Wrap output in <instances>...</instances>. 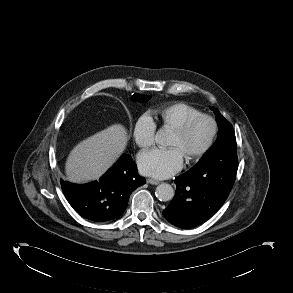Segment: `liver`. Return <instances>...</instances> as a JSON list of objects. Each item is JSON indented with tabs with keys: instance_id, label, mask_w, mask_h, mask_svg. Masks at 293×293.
Instances as JSON below:
<instances>
[{
	"instance_id": "liver-1",
	"label": "liver",
	"mask_w": 293,
	"mask_h": 293,
	"mask_svg": "<svg viewBox=\"0 0 293 293\" xmlns=\"http://www.w3.org/2000/svg\"><path fill=\"white\" fill-rule=\"evenodd\" d=\"M127 141V130L121 124H113L81 141L67 158V179L74 183L98 179L123 153Z\"/></svg>"
}]
</instances>
